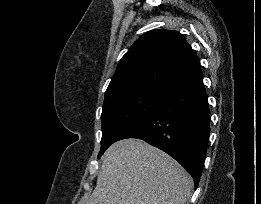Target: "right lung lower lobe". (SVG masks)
Listing matches in <instances>:
<instances>
[{"label": "right lung lower lobe", "mask_w": 261, "mask_h": 204, "mask_svg": "<svg viewBox=\"0 0 261 204\" xmlns=\"http://www.w3.org/2000/svg\"><path fill=\"white\" fill-rule=\"evenodd\" d=\"M210 110L198 73L171 88L147 115L119 138H138L177 160L198 187L210 132Z\"/></svg>", "instance_id": "98d812e1"}]
</instances>
